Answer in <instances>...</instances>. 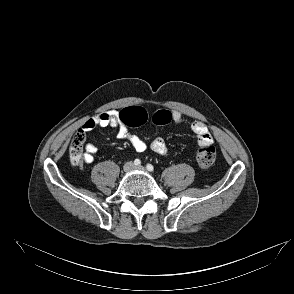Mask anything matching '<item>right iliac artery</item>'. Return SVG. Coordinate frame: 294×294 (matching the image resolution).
<instances>
[{
    "mask_svg": "<svg viewBox=\"0 0 294 294\" xmlns=\"http://www.w3.org/2000/svg\"><path fill=\"white\" fill-rule=\"evenodd\" d=\"M134 164L138 166V165L141 164V161H140L139 159H135V160H134Z\"/></svg>",
    "mask_w": 294,
    "mask_h": 294,
    "instance_id": "right-iliac-artery-1",
    "label": "right iliac artery"
}]
</instances>
